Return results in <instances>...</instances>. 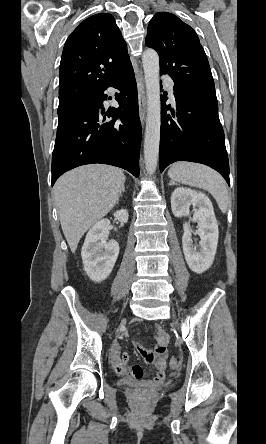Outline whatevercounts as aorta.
Here are the masks:
<instances>
[{"instance_id":"obj_1","label":"aorta","mask_w":266,"mask_h":444,"mask_svg":"<svg viewBox=\"0 0 266 444\" xmlns=\"http://www.w3.org/2000/svg\"><path fill=\"white\" fill-rule=\"evenodd\" d=\"M147 93V117L144 139L145 169L149 175L154 174L159 154L161 99L159 81V56L153 49H147L142 55Z\"/></svg>"}]
</instances>
